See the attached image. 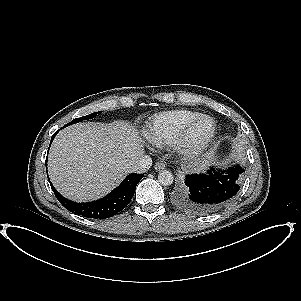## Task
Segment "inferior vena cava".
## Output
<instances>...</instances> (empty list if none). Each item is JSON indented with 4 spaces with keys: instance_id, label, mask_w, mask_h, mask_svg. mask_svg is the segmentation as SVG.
I'll use <instances>...</instances> for the list:
<instances>
[{
    "instance_id": "obj_1",
    "label": "inferior vena cava",
    "mask_w": 301,
    "mask_h": 301,
    "mask_svg": "<svg viewBox=\"0 0 301 301\" xmlns=\"http://www.w3.org/2000/svg\"><path fill=\"white\" fill-rule=\"evenodd\" d=\"M152 166V159L148 155H141L131 166V173H145Z\"/></svg>"
}]
</instances>
